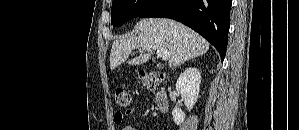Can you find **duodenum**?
<instances>
[{"label":"duodenum","instance_id":"duodenum-1","mask_svg":"<svg viewBox=\"0 0 299 130\" xmlns=\"http://www.w3.org/2000/svg\"><path fill=\"white\" fill-rule=\"evenodd\" d=\"M154 101L157 109L160 112L164 113L168 110L169 100H168L167 92L165 90L161 89L157 91L154 97Z\"/></svg>","mask_w":299,"mask_h":130}]
</instances>
